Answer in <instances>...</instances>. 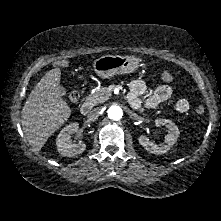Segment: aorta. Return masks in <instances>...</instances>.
I'll return each mask as SVG.
<instances>
[{"label":"aorta","mask_w":221,"mask_h":221,"mask_svg":"<svg viewBox=\"0 0 221 221\" xmlns=\"http://www.w3.org/2000/svg\"><path fill=\"white\" fill-rule=\"evenodd\" d=\"M107 115L111 120L118 121L123 116V110L118 105H112L107 110Z\"/></svg>","instance_id":"762f6f07"}]
</instances>
